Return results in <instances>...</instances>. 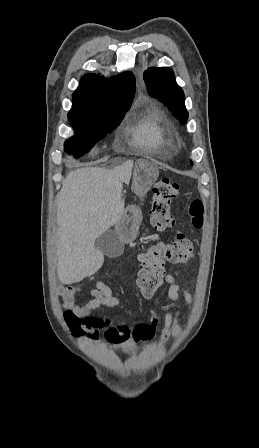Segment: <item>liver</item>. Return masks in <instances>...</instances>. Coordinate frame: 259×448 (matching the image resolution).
<instances>
[{"mask_svg":"<svg viewBox=\"0 0 259 448\" xmlns=\"http://www.w3.org/2000/svg\"><path fill=\"white\" fill-rule=\"evenodd\" d=\"M133 160L113 170L81 168L69 172L57 196V274L62 284L93 276L104 256L95 242L124 214L122 184L131 178Z\"/></svg>","mask_w":259,"mask_h":448,"instance_id":"6515ba94","label":"liver"}]
</instances>
